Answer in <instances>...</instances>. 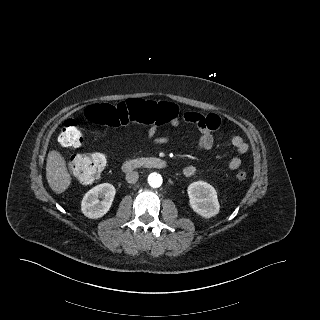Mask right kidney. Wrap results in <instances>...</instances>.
Segmentation results:
<instances>
[{"instance_id":"1","label":"right kidney","mask_w":320,"mask_h":320,"mask_svg":"<svg viewBox=\"0 0 320 320\" xmlns=\"http://www.w3.org/2000/svg\"><path fill=\"white\" fill-rule=\"evenodd\" d=\"M115 194L116 189L110 183L95 186L90 189L82 199V213L88 218H101L109 211Z\"/></svg>"}]
</instances>
